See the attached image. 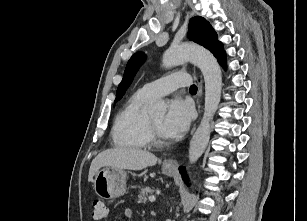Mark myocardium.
Masks as SVG:
<instances>
[{"mask_svg": "<svg viewBox=\"0 0 307 221\" xmlns=\"http://www.w3.org/2000/svg\"><path fill=\"white\" fill-rule=\"evenodd\" d=\"M167 144V140L161 136L158 128L153 122L151 116L148 117V145L162 147Z\"/></svg>", "mask_w": 307, "mask_h": 221, "instance_id": "obj_1", "label": "myocardium"}]
</instances>
